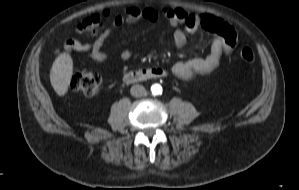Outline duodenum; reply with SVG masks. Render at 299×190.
Masks as SVG:
<instances>
[{"label": "duodenum", "mask_w": 299, "mask_h": 190, "mask_svg": "<svg viewBox=\"0 0 299 190\" xmlns=\"http://www.w3.org/2000/svg\"><path fill=\"white\" fill-rule=\"evenodd\" d=\"M167 72L162 68L151 67L128 71L124 74L123 79L127 84H133L148 79L164 78Z\"/></svg>", "instance_id": "duodenum-1"}]
</instances>
